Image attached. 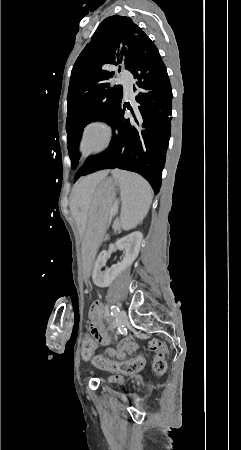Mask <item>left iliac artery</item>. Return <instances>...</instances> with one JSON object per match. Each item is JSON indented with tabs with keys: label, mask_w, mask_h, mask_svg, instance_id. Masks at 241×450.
Masks as SVG:
<instances>
[{
	"label": "left iliac artery",
	"mask_w": 241,
	"mask_h": 450,
	"mask_svg": "<svg viewBox=\"0 0 241 450\" xmlns=\"http://www.w3.org/2000/svg\"><path fill=\"white\" fill-rule=\"evenodd\" d=\"M119 314V308L116 305L111 306V315L117 317Z\"/></svg>",
	"instance_id": "obj_1"
}]
</instances>
